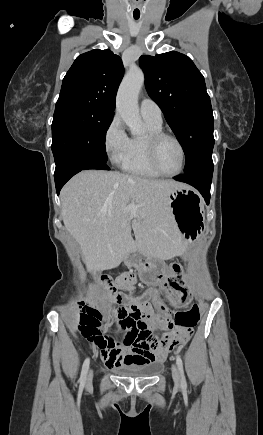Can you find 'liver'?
<instances>
[{
    "mask_svg": "<svg viewBox=\"0 0 263 435\" xmlns=\"http://www.w3.org/2000/svg\"><path fill=\"white\" fill-rule=\"evenodd\" d=\"M174 180H151L119 172L82 171L62 189L65 228L78 242L88 270L117 267L139 250L160 260L183 251V239L171 213L170 192L183 187ZM136 205L132 221L124 210Z\"/></svg>",
    "mask_w": 263,
    "mask_h": 435,
    "instance_id": "obj_1",
    "label": "liver"
}]
</instances>
